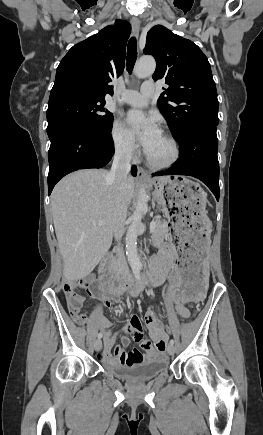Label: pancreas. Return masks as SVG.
Here are the masks:
<instances>
[{"instance_id":"1","label":"pancreas","mask_w":263,"mask_h":435,"mask_svg":"<svg viewBox=\"0 0 263 435\" xmlns=\"http://www.w3.org/2000/svg\"><path fill=\"white\" fill-rule=\"evenodd\" d=\"M168 233V222L167 221H161L160 219H158L156 221V227L154 232L152 233V242L153 245L158 247L160 245V243L163 242L165 236Z\"/></svg>"}]
</instances>
